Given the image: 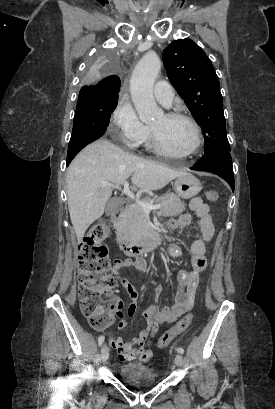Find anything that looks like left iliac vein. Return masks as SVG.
Listing matches in <instances>:
<instances>
[{"label": "left iliac vein", "mask_w": 275, "mask_h": 409, "mask_svg": "<svg viewBox=\"0 0 275 409\" xmlns=\"http://www.w3.org/2000/svg\"><path fill=\"white\" fill-rule=\"evenodd\" d=\"M183 361H184L183 355L177 354L175 357V365L180 368L183 365Z\"/></svg>", "instance_id": "1"}]
</instances>
